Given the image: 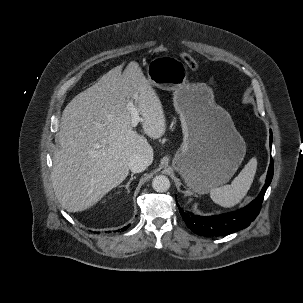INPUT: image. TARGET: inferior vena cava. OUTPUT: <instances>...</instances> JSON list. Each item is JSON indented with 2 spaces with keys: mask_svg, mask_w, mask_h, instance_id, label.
Instances as JSON below:
<instances>
[{
  "mask_svg": "<svg viewBox=\"0 0 303 303\" xmlns=\"http://www.w3.org/2000/svg\"><path fill=\"white\" fill-rule=\"evenodd\" d=\"M149 164V160L144 156L135 155L130 158L128 167L133 173H140L143 172L149 166Z\"/></svg>",
  "mask_w": 303,
  "mask_h": 303,
  "instance_id": "obj_1",
  "label": "inferior vena cava"
}]
</instances>
